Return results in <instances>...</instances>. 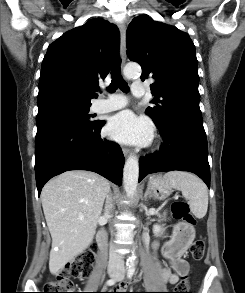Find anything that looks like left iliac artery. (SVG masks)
I'll list each match as a JSON object with an SVG mask.
<instances>
[{
  "instance_id": "44dca946",
  "label": "left iliac artery",
  "mask_w": 245,
  "mask_h": 293,
  "mask_svg": "<svg viewBox=\"0 0 245 293\" xmlns=\"http://www.w3.org/2000/svg\"><path fill=\"white\" fill-rule=\"evenodd\" d=\"M134 273H135V267L132 266V267H130V268L128 269L127 277H128L129 279H131V277L133 276Z\"/></svg>"
}]
</instances>
